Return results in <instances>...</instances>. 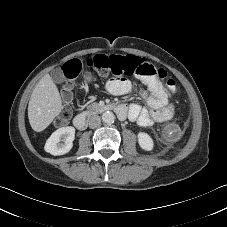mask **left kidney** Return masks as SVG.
Returning <instances> with one entry per match:
<instances>
[{
	"mask_svg": "<svg viewBox=\"0 0 227 227\" xmlns=\"http://www.w3.org/2000/svg\"><path fill=\"white\" fill-rule=\"evenodd\" d=\"M137 137L138 143L143 150L151 151L153 149L154 147L153 140L147 133L139 132Z\"/></svg>",
	"mask_w": 227,
	"mask_h": 227,
	"instance_id": "obj_1",
	"label": "left kidney"
}]
</instances>
